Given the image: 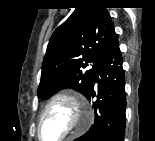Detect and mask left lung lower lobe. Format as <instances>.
I'll list each match as a JSON object with an SVG mask.
<instances>
[{
  "label": "left lung lower lobe",
  "mask_w": 155,
  "mask_h": 141,
  "mask_svg": "<svg viewBox=\"0 0 155 141\" xmlns=\"http://www.w3.org/2000/svg\"><path fill=\"white\" fill-rule=\"evenodd\" d=\"M97 84V93L94 86ZM93 101L94 125L77 140L82 141H124L126 93L122 56L117 36L107 45L91 85L86 94Z\"/></svg>",
  "instance_id": "1"
}]
</instances>
